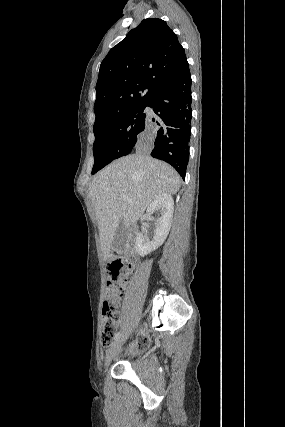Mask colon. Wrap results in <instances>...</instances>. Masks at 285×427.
I'll list each match as a JSON object with an SVG mask.
<instances>
[{"label":"colon","mask_w":285,"mask_h":427,"mask_svg":"<svg viewBox=\"0 0 285 427\" xmlns=\"http://www.w3.org/2000/svg\"><path fill=\"white\" fill-rule=\"evenodd\" d=\"M130 262L122 256H114L109 264V280L104 293L102 309L101 339L104 346L109 345L117 334L119 324L118 307L121 304L126 285V272L130 270Z\"/></svg>","instance_id":"5ec220e1"}]
</instances>
